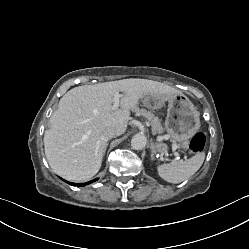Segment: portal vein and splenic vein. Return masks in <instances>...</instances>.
Wrapping results in <instances>:
<instances>
[{"label":"portal vein and splenic vein","instance_id":"1","mask_svg":"<svg viewBox=\"0 0 249 249\" xmlns=\"http://www.w3.org/2000/svg\"><path fill=\"white\" fill-rule=\"evenodd\" d=\"M121 97V95L119 94V93H116L115 95H114V104H113V106H112V109L113 110H115V109H117L118 107H119V98ZM172 149H173V151H174V155L175 156H178L179 154H178V152H176V149H177V145L176 144H173L172 145Z\"/></svg>","mask_w":249,"mask_h":249}]
</instances>
